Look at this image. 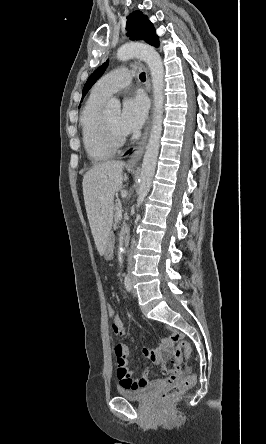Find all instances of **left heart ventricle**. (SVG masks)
I'll list each match as a JSON object with an SVG mask.
<instances>
[{"mask_svg": "<svg viewBox=\"0 0 266 444\" xmlns=\"http://www.w3.org/2000/svg\"><path fill=\"white\" fill-rule=\"evenodd\" d=\"M105 114L112 132L117 136L125 135L119 126V118H120L119 112H109Z\"/></svg>", "mask_w": 266, "mask_h": 444, "instance_id": "left-heart-ventricle-1", "label": "left heart ventricle"}]
</instances>
